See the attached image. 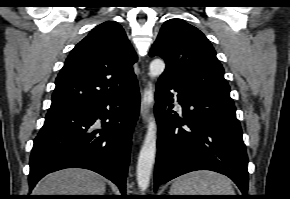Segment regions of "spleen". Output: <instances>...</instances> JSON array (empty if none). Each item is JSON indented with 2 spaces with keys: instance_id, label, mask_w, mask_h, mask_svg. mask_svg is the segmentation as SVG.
<instances>
[{
  "instance_id": "obj_1",
  "label": "spleen",
  "mask_w": 290,
  "mask_h": 199,
  "mask_svg": "<svg viewBox=\"0 0 290 199\" xmlns=\"http://www.w3.org/2000/svg\"><path fill=\"white\" fill-rule=\"evenodd\" d=\"M170 195H235L230 180L207 170L194 171L177 178Z\"/></svg>"
}]
</instances>
